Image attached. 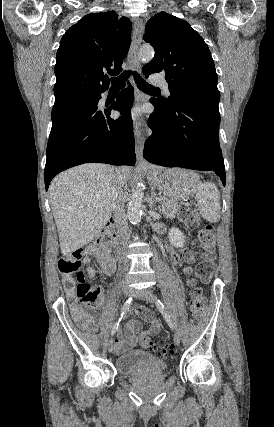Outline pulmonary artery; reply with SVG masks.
<instances>
[{
  "label": "pulmonary artery",
  "mask_w": 274,
  "mask_h": 427,
  "mask_svg": "<svg viewBox=\"0 0 274 427\" xmlns=\"http://www.w3.org/2000/svg\"><path fill=\"white\" fill-rule=\"evenodd\" d=\"M150 83H152V84H156V85H161V84H163V82H164V79H163V77H161V76H156V77H152V78H150ZM162 88L165 90V92L167 93V94H169V87H168V85L167 84H163L162 85Z\"/></svg>",
  "instance_id": "e3ab8cb5"
}]
</instances>
